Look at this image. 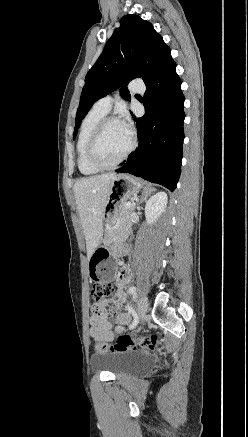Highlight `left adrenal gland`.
<instances>
[{"label":"left adrenal gland","mask_w":248,"mask_h":437,"mask_svg":"<svg viewBox=\"0 0 248 437\" xmlns=\"http://www.w3.org/2000/svg\"><path fill=\"white\" fill-rule=\"evenodd\" d=\"M155 191V189H150L147 190V193L150 194L151 192ZM145 200V197L143 196L142 198H140V200L137 203V206H139L143 201Z\"/></svg>","instance_id":"left-adrenal-gland-1"}]
</instances>
